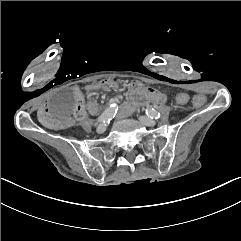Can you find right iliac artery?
Listing matches in <instances>:
<instances>
[{"label":"right iliac artery","instance_id":"1","mask_svg":"<svg viewBox=\"0 0 241 241\" xmlns=\"http://www.w3.org/2000/svg\"><path fill=\"white\" fill-rule=\"evenodd\" d=\"M118 107L116 104H111L108 109H106L101 116L97 118L98 122H109L112 118H114L117 113Z\"/></svg>","mask_w":241,"mask_h":241}]
</instances>
